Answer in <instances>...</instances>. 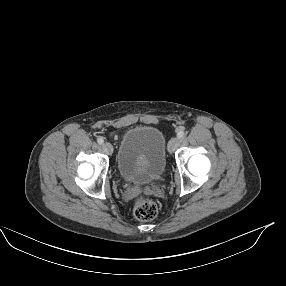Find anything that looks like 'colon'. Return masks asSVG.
I'll list each match as a JSON object with an SVG mask.
<instances>
[{
  "instance_id": "5ec220e1",
  "label": "colon",
  "mask_w": 286,
  "mask_h": 286,
  "mask_svg": "<svg viewBox=\"0 0 286 286\" xmlns=\"http://www.w3.org/2000/svg\"><path fill=\"white\" fill-rule=\"evenodd\" d=\"M157 204L148 198L139 197L133 203V214L138 220L148 221L157 216Z\"/></svg>"
}]
</instances>
